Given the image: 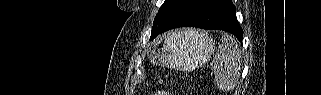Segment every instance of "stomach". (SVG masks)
<instances>
[{
    "label": "stomach",
    "instance_id": "1",
    "mask_svg": "<svg viewBox=\"0 0 321 95\" xmlns=\"http://www.w3.org/2000/svg\"><path fill=\"white\" fill-rule=\"evenodd\" d=\"M214 50L215 42L211 37L188 29L166 34L161 44H154L151 59L161 65L191 70L208 61Z\"/></svg>",
    "mask_w": 321,
    "mask_h": 95
}]
</instances>
